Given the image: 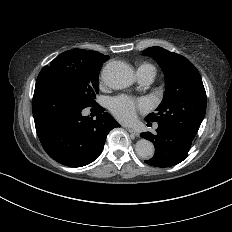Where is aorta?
I'll return each instance as SVG.
<instances>
[{
    "label": "aorta",
    "mask_w": 232,
    "mask_h": 232,
    "mask_svg": "<svg viewBox=\"0 0 232 232\" xmlns=\"http://www.w3.org/2000/svg\"><path fill=\"white\" fill-rule=\"evenodd\" d=\"M104 83L116 90H121L131 86L134 82V72L132 68L121 61L108 63L102 72ZM154 145L147 139H140L136 143V152L139 157L149 159L154 155Z\"/></svg>",
    "instance_id": "obj_1"
}]
</instances>
